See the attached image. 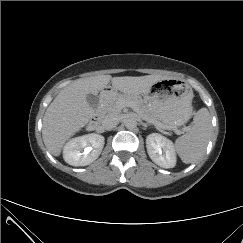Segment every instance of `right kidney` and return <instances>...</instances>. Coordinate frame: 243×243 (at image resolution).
Here are the masks:
<instances>
[{
    "label": "right kidney",
    "instance_id": "obj_1",
    "mask_svg": "<svg viewBox=\"0 0 243 243\" xmlns=\"http://www.w3.org/2000/svg\"><path fill=\"white\" fill-rule=\"evenodd\" d=\"M104 137L91 133L70 139L63 148V158L72 166H86L94 162L102 152Z\"/></svg>",
    "mask_w": 243,
    "mask_h": 243
}]
</instances>
